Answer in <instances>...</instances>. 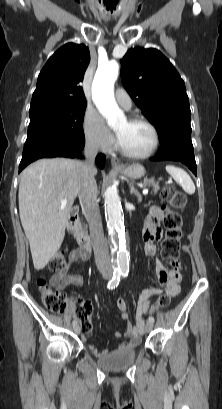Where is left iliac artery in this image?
Segmentation results:
<instances>
[{
	"label": "left iliac artery",
	"mask_w": 222,
	"mask_h": 409,
	"mask_svg": "<svg viewBox=\"0 0 222 409\" xmlns=\"http://www.w3.org/2000/svg\"><path fill=\"white\" fill-rule=\"evenodd\" d=\"M121 273H122L123 276L126 277V276L128 275V270L124 269V270H122ZM148 321L154 323V322H155V319H154L153 316H149Z\"/></svg>",
	"instance_id": "obj_1"
}]
</instances>
